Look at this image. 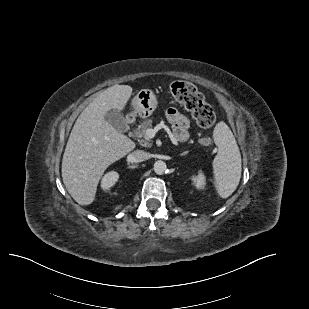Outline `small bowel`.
<instances>
[{"mask_svg": "<svg viewBox=\"0 0 309 309\" xmlns=\"http://www.w3.org/2000/svg\"><path fill=\"white\" fill-rule=\"evenodd\" d=\"M168 121L173 126V136L177 141H185L189 137L188 119L176 108H169L166 112Z\"/></svg>", "mask_w": 309, "mask_h": 309, "instance_id": "small-bowel-1", "label": "small bowel"}]
</instances>
